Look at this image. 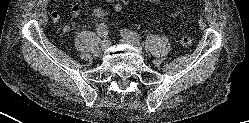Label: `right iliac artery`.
<instances>
[{"mask_svg": "<svg viewBox=\"0 0 249 123\" xmlns=\"http://www.w3.org/2000/svg\"><path fill=\"white\" fill-rule=\"evenodd\" d=\"M96 30L101 37H103V38L108 37V30H107V27L104 23L99 24L97 26Z\"/></svg>", "mask_w": 249, "mask_h": 123, "instance_id": "82829eb1", "label": "right iliac artery"}]
</instances>
